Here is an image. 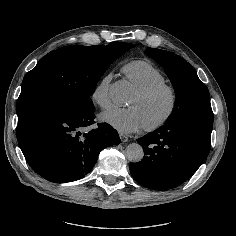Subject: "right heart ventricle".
<instances>
[{
  "mask_svg": "<svg viewBox=\"0 0 236 236\" xmlns=\"http://www.w3.org/2000/svg\"><path fill=\"white\" fill-rule=\"evenodd\" d=\"M122 72L135 90H144L166 82L163 72L147 60L130 61L122 67Z\"/></svg>",
  "mask_w": 236,
  "mask_h": 236,
  "instance_id": "right-heart-ventricle-1",
  "label": "right heart ventricle"
}]
</instances>
